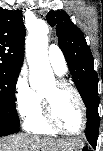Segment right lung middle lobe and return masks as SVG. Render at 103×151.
Instances as JSON below:
<instances>
[{
	"mask_svg": "<svg viewBox=\"0 0 103 151\" xmlns=\"http://www.w3.org/2000/svg\"><path fill=\"white\" fill-rule=\"evenodd\" d=\"M20 69L0 65V119L16 126L20 121L15 108V86Z\"/></svg>",
	"mask_w": 103,
	"mask_h": 151,
	"instance_id": "right-lung-middle-lobe-1",
	"label": "right lung middle lobe"
}]
</instances>
